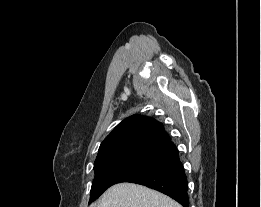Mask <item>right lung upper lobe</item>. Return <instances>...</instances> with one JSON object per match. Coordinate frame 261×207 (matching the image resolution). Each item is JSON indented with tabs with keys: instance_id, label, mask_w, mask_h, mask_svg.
<instances>
[{
	"instance_id": "1",
	"label": "right lung upper lobe",
	"mask_w": 261,
	"mask_h": 207,
	"mask_svg": "<svg viewBox=\"0 0 261 207\" xmlns=\"http://www.w3.org/2000/svg\"><path fill=\"white\" fill-rule=\"evenodd\" d=\"M178 154L163 125L146 116L132 115L105 138L94 165L126 158L164 161Z\"/></svg>"
}]
</instances>
